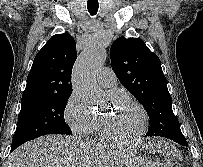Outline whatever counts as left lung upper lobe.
<instances>
[{
  "label": "left lung upper lobe",
  "instance_id": "obj_1",
  "mask_svg": "<svg viewBox=\"0 0 203 167\" xmlns=\"http://www.w3.org/2000/svg\"><path fill=\"white\" fill-rule=\"evenodd\" d=\"M110 59L119 81L147 111L150 126L146 136L183 135L172 110L160 59L144 41L119 37L111 46Z\"/></svg>",
  "mask_w": 203,
  "mask_h": 167
}]
</instances>
